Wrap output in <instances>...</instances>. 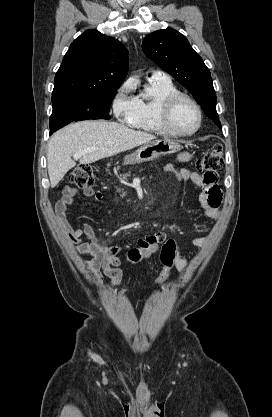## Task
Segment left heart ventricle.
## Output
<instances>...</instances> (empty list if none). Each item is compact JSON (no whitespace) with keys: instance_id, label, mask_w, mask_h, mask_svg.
I'll list each match as a JSON object with an SVG mask.
<instances>
[{"instance_id":"b2bd125f","label":"left heart ventricle","mask_w":272,"mask_h":417,"mask_svg":"<svg viewBox=\"0 0 272 417\" xmlns=\"http://www.w3.org/2000/svg\"><path fill=\"white\" fill-rule=\"evenodd\" d=\"M198 123V115L193 107L187 101L179 102L172 115V124L178 131L190 132Z\"/></svg>"}]
</instances>
